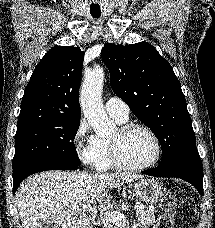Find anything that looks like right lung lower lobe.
Segmentation results:
<instances>
[{"label":"right lung lower lobe","instance_id":"1","mask_svg":"<svg viewBox=\"0 0 215 228\" xmlns=\"http://www.w3.org/2000/svg\"><path fill=\"white\" fill-rule=\"evenodd\" d=\"M78 168L79 165L76 164L55 161H39L18 166L13 169V194L16 192L22 180L29 175L47 170H76Z\"/></svg>","mask_w":215,"mask_h":228}]
</instances>
